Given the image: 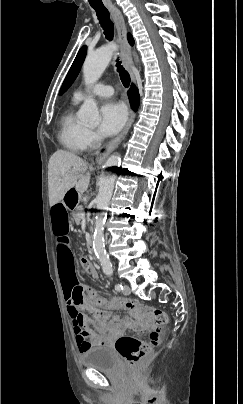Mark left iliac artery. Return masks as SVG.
<instances>
[{"label": "left iliac artery", "instance_id": "44dca946", "mask_svg": "<svg viewBox=\"0 0 243 404\" xmlns=\"http://www.w3.org/2000/svg\"><path fill=\"white\" fill-rule=\"evenodd\" d=\"M108 275L111 276L112 273L110 272V273H108ZM115 290L116 291H121V290H123V286L121 284H116L115 285Z\"/></svg>", "mask_w": 243, "mask_h": 404}]
</instances>
